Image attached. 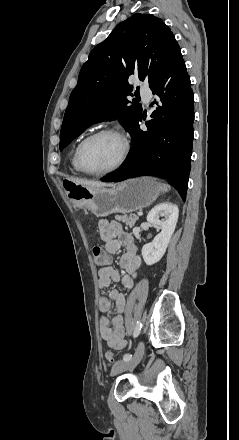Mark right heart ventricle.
<instances>
[{"label":"right heart ventricle","instance_id":"1","mask_svg":"<svg viewBox=\"0 0 239 440\" xmlns=\"http://www.w3.org/2000/svg\"><path fill=\"white\" fill-rule=\"evenodd\" d=\"M78 144H79V142L74 146L72 153H71V167L74 172L81 173V171L79 170L77 163H76V150H77Z\"/></svg>","mask_w":239,"mask_h":440}]
</instances>
